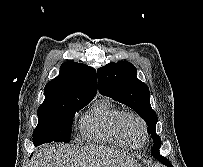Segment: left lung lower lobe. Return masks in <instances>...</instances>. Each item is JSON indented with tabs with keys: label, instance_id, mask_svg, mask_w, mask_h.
Returning a JSON list of instances; mask_svg holds the SVG:
<instances>
[{
	"label": "left lung lower lobe",
	"instance_id": "left-lung-lower-lobe-1",
	"mask_svg": "<svg viewBox=\"0 0 203 167\" xmlns=\"http://www.w3.org/2000/svg\"><path fill=\"white\" fill-rule=\"evenodd\" d=\"M158 155L161 156L160 153H159ZM160 162H161V161H160ZM163 163H164V164L166 163L165 160H163Z\"/></svg>",
	"mask_w": 203,
	"mask_h": 167
}]
</instances>
